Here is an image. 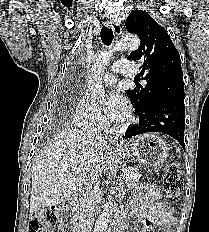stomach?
<instances>
[{"mask_svg": "<svg viewBox=\"0 0 209 232\" xmlns=\"http://www.w3.org/2000/svg\"><path fill=\"white\" fill-rule=\"evenodd\" d=\"M118 150L153 168L162 167L169 154L168 144L154 134L141 135L126 145L124 149L119 148Z\"/></svg>", "mask_w": 209, "mask_h": 232, "instance_id": "0dacf381", "label": "stomach"}]
</instances>
